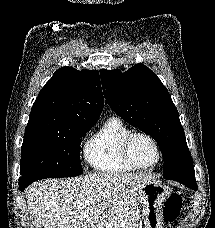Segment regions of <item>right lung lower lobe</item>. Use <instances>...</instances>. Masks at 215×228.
I'll list each match as a JSON object with an SVG mask.
<instances>
[{
	"instance_id": "obj_1",
	"label": "right lung lower lobe",
	"mask_w": 215,
	"mask_h": 228,
	"mask_svg": "<svg viewBox=\"0 0 215 228\" xmlns=\"http://www.w3.org/2000/svg\"><path fill=\"white\" fill-rule=\"evenodd\" d=\"M28 185H26L25 183H19V188L21 191H23Z\"/></svg>"
}]
</instances>
